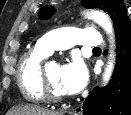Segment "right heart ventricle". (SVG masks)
Returning a JSON list of instances; mask_svg holds the SVG:
<instances>
[{
	"label": "right heart ventricle",
	"instance_id": "1",
	"mask_svg": "<svg viewBox=\"0 0 131 115\" xmlns=\"http://www.w3.org/2000/svg\"><path fill=\"white\" fill-rule=\"evenodd\" d=\"M48 55L36 45L19 60L17 83L23 98L29 102L41 103L45 100L40 88V71L42 62Z\"/></svg>",
	"mask_w": 131,
	"mask_h": 115
}]
</instances>
